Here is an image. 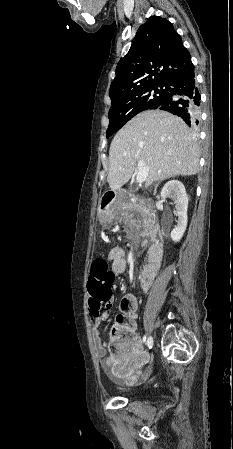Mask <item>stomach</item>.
I'll return each mask as SVG.
<instances>
[{"mask_svg":"<svg viewBox=\"0 0 233 449\" xmlns=\"http://www.w3.org/2000/svg\"><path fill=\"white\" fill-rule=\"evenodd\" d=\"M121 212V205L118 201H115L114 206H110L109 209L103 210L100 208V218L103 222H111L117 219Z\"/></svg>","mask_w":233,"mask_h":449,"instance_id":"0dacf381","label":"stomach"}]
</instances>
